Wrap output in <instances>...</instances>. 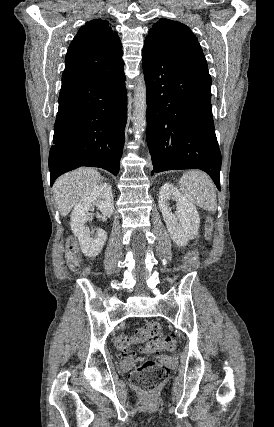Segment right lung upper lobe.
<instances>
[{
	"label": "right lung upper lobe",
	"mask_w": 274,
	"mask_h": 427,
	"mask_svg": "<svg viewBox=\"0 0 274 427\" xmlns=\"http://www.w3.org/2000/svg\"><path fill=\"white\" fill-rule=\"evenodd\" d=\"M122 55L120 38L107 21L94 19L86 22L68 48L60 91L117 68L124 63Z\"/></svg>",
	"instance_id": "obj_1"
}]
</instances>
